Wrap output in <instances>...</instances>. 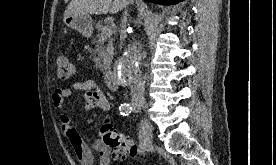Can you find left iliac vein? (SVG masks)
I'll return each mask as SVG.
<instances>
[{
	"label": "left iliac vein",
	"mask_w": 276,
	"mask_h": 165,
	"mask_svg": "<svg viewBox=\"0 0 276 165\" xmlns=\"http://www.w3.org/2000/svg\"><path fill=\"white\" fill-rule=\"evenodd\" d=\"M134 111H135V112H139L140 110H139V109H137V108H135V109H134Z\"/></svg>",
	"instance_id": "obj_1"
}]
</instances>
